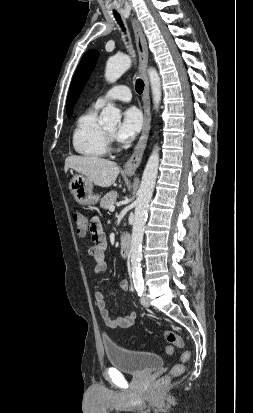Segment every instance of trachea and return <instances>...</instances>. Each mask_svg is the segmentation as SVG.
<instances>
[{
  "label": "trachea",
  "instance_id": "obj_1",
  "mask_svg": "<svg viewBox=\"0 0 253 413\" xmlns=\"http://www.w3.org/2000/svg\"><path fill=\"white\" fill-rule=\"evenodd\" d=\"M113 14H114V17H115V19L117 20L118 24H120V26L122 27V30L125 31V28H124V25H123V23H122L120 14L117 13L116 11H114ZM135 89H136V92H137L138 94H142L143 89H144V82H143L141 79H137V80H136Z\"/></svg>",
  "mask_w": 253,
  "mask_h": 413
}]
</instances>
